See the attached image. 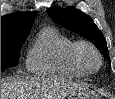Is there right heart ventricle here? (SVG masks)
Segmentation results:
<instances>
[{"label": "right heart ventricle", "instance_id": "e07e8e85", "mask_svg": "<svg viewBox=\"0 0 115 99\" xmlns=\"http://www.w3.org/2000/svg\"><path fill=\"white\" fill-rule=\"evenodd\" d=\"M74 41L54 27L43 28L28 51L27 69L40 75L82 78V72L72 61L70 50Z\"/></svg>", "mask_w": 115, "mask_h": 99}]
</instances>
